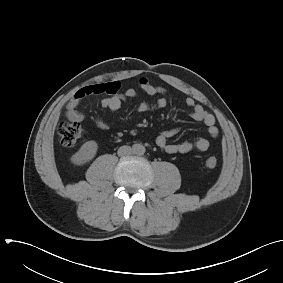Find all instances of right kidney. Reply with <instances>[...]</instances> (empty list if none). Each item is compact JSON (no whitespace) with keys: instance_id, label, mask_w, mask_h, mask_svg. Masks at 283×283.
Segmentation results:
<instances>
[{"instance_id":"1","label":"right kidney","mask_w":283,"mask_h":283,"mask_svg":"<svg viewBox=\"0 0 283 283\" xmlns=\"http://www.w3.org/2000/svg\"><path fill=\"white\" fill-rule=\"evenodd\" d=\"M98 149V145L95 141H88L84 143L79 151L72 156V162L76 165H81L91 160Z\"/></svg>"}]
</instances>
